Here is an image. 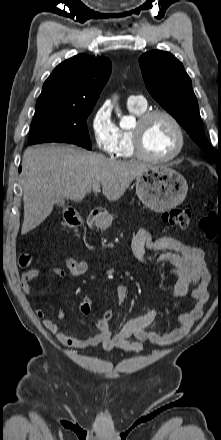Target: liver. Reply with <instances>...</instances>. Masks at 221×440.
<instances>
[{
  "instance_id": "6515ba94",
  "label": "liver",
  "mask_w": 221,
  "mask_h": 440,
  "mask_svg": "<svg viewBox=\"0 0 221 440\" xmlns=\"http://www.w3.org/2000/svg\"><path fill=\"white\" fill-rule=\"evenodd\" d=\"M151 166L109 159L68 145L42 144L27 148L22 161L24 221L21 234L39 226L58 200L82 201L93 187L102 185V193L108 201H117L132 181Z\"/></svg>"
}]
</instances>
